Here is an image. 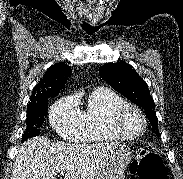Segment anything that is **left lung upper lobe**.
Returning a JSON list of instances; mask_svg holds the SVG:
<instances>
[{
    "instance_id": "5c2ea615",
    "label": "left lung upper lobe",
    "mask_w": 183,
    "mask_h": 179,
    "mask_svg": "<svg viewBox=\"0 0 183 179\" xmlns=\"http://www.w3.org/2000/svg\"><path fill=\"white\" fill-rule=\"evenodd\" d=\"M99 74L116 91L145 109V114L150 120L154 132L159 136L154 101L146 82L136 73L135 69L125 62L109 63L99 68Z\"/></svg>"
}]
</instances>
